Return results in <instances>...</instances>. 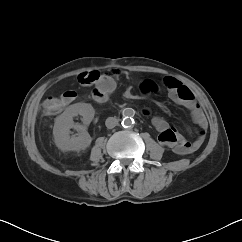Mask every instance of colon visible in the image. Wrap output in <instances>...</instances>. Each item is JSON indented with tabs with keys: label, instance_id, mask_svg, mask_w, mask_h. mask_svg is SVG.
<instances>
[{
	"label": "colon",
	"instance_id": "1",
	"mask_svg": "<svg viewBox=\"0 0 242 242\" xmlns=\"http://www.w3.org/2000/svg\"><path fill=\"white\" fill-rule=\"evenodd\" d=\"M99 78V73H91L90 75L83 74L82 75V82L83 83H89L96 81ZM142 90L144 93H150L156 90V87L154 84H144L142 86ZM181 92L183 94H186L185 89L181 88ZM109 94H107L105 91L101 90L97 94H95V98L97 100H104L107 98ZM69 102V96L64 93L59 96H51L48 97L43 104L44 110L47 113H57L60 110H62L67 103Z\"/></svg>",
	"mask_w": 242,
	"mask_h": 242
}]
</instances>
